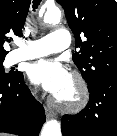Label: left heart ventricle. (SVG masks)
<instances>
[{
    "mask_svg": "<svg viewBox=\"0 0 117 136\" xmlns=\"http://www.w3.org/2000/svg\"><path fill=\"white\" fill-rule=\"evenodd\" d=\"M71 93H72V83L70 82L69 86L62 93H60L58 96L68 98V97H70Z\"/></svg>",
    "mask_w": 117,
    "mask_h": 136,
    "instance_id": "b2bd125f",
    "label": "left heart ventricle"
}]
</instances>
